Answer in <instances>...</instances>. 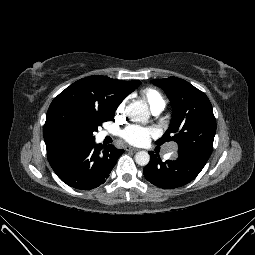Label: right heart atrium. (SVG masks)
Masks as SVG:
<instances>
[{"label": "right heart atrium", "instance_id": "d8ad5b80", "mask_svg": "<svg viewBox=\"0 0 255 255\" xmlns=\"http://www.w3.org/2000/svg\"><path fill=\"white\" fill-rule=\"evenodd\" d=\"M123 109H124V102H122V103L118 106V108H117V113L122 112Z\"/></svg>", "mask_w": 255, "mask_h": 255}]
</instances>
